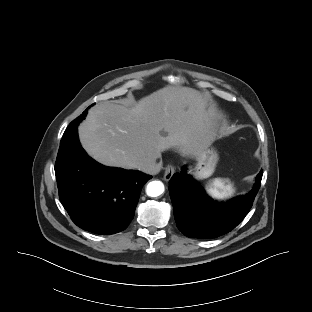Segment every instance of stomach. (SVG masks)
Instances as JSON below:
<instances>
[{
    "label": "stomach",
    "mask_w": 312,
    "mask_h": 312,
    "mask_svg": "<svg viewBox=\"0 0 312 312\" xmlns=\"http://www.w3.org/2000/svg\"><path fill=\"white\" fill-rule=\"evenodd\" d=\"M197 163L194 167V176L199 179L210 177L214 171L218 162V154L214 148H210V145L202 149L196 156Z\"/></svg>",
    "instance_id": "stomach-1"
}]
</instances>
